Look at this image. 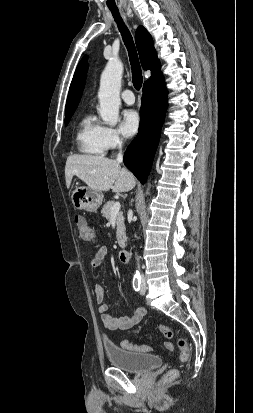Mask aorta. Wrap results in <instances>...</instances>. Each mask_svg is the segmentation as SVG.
<instances>
[{
    "instance_id": "762f6f07",
    "label": "aorta",
    "mask_w": 253,
    "mask_h": 413,
    "mask_svg": "<svg viewBox=\"0 0 253 413\" xmlns=\"http://www.w3.org/2000/svg\"><path fill=\"white\" fill-rule=\"evenodd\" d=\"M122 74V62L119 59H110L101 75L98 92L99 113L104 123L109 126H115L119 121Z\"/></svg>"
}]
</instances>
